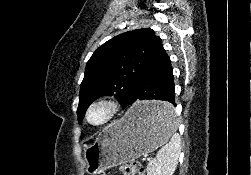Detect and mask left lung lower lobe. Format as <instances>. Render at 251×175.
Returning a JSON list of instances; mask_svg holds the SVG:
<instances>
[{
  "label": "left lung lower lobe",
  "instance_id": "left-lung-lower-lobe-1",
  "mask_svg": "<svg viewBox=\"0 0 251 175\" xmlns=\"http://www.w3.org/2000/svg\"><path fill=\"white\" fill-rule=\"evenodd\" d=\"M161 100L164 104L138 106L132 116L141 121L167 122L174 116L175 86L173 68L169 56L165 54L137 82L123 109L137 100ZM173 105H171V104Z\"/></svg>",
  "mask_w": 251,
  "mask_h": 175
}]
</instances>
